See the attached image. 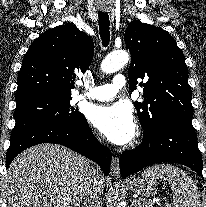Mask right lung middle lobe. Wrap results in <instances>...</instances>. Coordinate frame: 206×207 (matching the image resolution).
I'll return each instance as SVG.
<instances>
[{"label": "right lung middle lobe", "mask_w": 206, "mask_h": 207, "mask_svg": "<svg viewBox=\"0 0 206 207\" xmlns=\"http://www.w3.org/2000/svg\"><path fill=\"white\" fill-rule=\"evenodd\" d=\"M70 95L36 94L16 100L12 133L44 123L76 125L85 117L70 105Z\"/></svg>", "instance_id": "obj_1"}]
</instances>
